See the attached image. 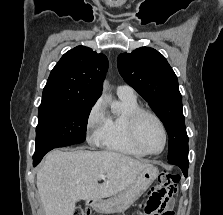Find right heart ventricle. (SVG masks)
<instances>
[{"mask_svg":"<svg viewBox=\"0 0 223 215\" xmlns=\"http://www.w3.org/2000/svg\"><path fill=\"white\" fill-rule=\"evenodd\" d=\"M122 111L107 113V125L99 137V143L107 149L127 155L140 157L129 136V122L132 115L142 109L136 97H119Z\"/></svg>","mask_w":223,"mask_h":215,"instance_id":"1","label":"right heart ventricle"}]
</instances>
